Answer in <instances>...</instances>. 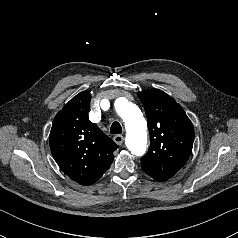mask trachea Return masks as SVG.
I'll return each instance as SVG.
<instances>
[{
  "mask_svg": "<svg viewBox=\"0 0 238 238\" xmlns=\"http://www.w3.org/2000/svg\"><path fill=\"white\" fill-rule=\"evenodd\" d=\"M110 132L114 135L122 133V127L119 122H113L110 128Z\"/></svg>",
  "mask_w": 238,
  "mask_h": 238,
  "instance_id": "trachea-1",
  "label": "trachea"
}]
</instances>
